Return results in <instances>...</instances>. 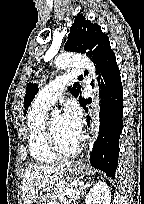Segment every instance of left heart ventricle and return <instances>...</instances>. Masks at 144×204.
Returning a JSON list of instances; mask_svg holds the SVG:
<instances>
[{
  "label": "left heart ventricle",
  "mask_w": 144,
  "mask_h": 204,
  "mask_svg": "<svg viewBox=\"0 0 144 204\" xmlns=\"http://www.w3.org/2000/svg\"><path fill=\"white\" fill-rule=\"evenodd\" d=\"M58 142L64 149H71L78 139L74 138L65 127L63 117L55 115L51 118Z\"/></svg>",
  "instance_id": "left-heart-ventricle-1"
}]
</instances>
